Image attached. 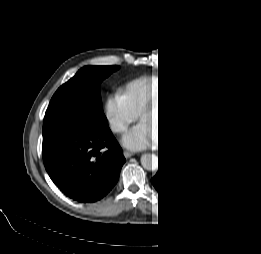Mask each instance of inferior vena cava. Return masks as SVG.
<instances>
[{
  "instance_id": "inferior-vena-cava-1",
  "label": "inferior vena cava",
  "mask_w": 261,
  "mask_h": 254,
  "mask_svg": "<svg viewBox=\"0 0 261 254\" xmlns=\"http://www.w3.org/2000/svg\"><path fill=\"white\" fill-rule=\"evenodd\" d=\"M112 129L113 130H118L119 129V124L118 123H115L112 125Z\"/></svg>"
}]
</instances>
